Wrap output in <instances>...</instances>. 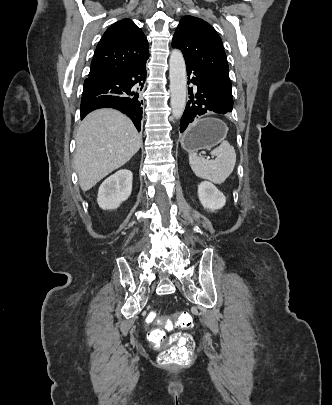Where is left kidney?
<instances>
[{
  "label": "left kidney",
  "instance_id": "1",
  "mask_svg": "<svg viewBox=\"0 0 332 405\" xmlns=\"http://www.w3.org/2000/svg\"><path fill=\"white\" fill-rule=\"evenodd\" d=\"M198 196L202 206L210 211H215L224 207L226 198L210 182H202L198 186Z\"/></svg>",
  "mask_w": 332,
  "mask_h": 405
}]
</instances>
